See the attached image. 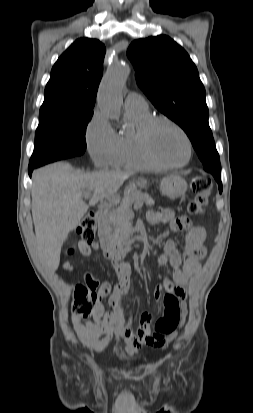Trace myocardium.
<instances>
[{
  "mask_svg": "<svg viewBox=\"0 0 253 413\" xmlns=\"http://www.w3.org/2000/svg\"><path fill=\"white\" fill-rule=\"evenodd\" d=\"M159 123H166L176 129L184 138L187 147L186 159L178 164H168L159 160L153 153L150 145V134L153 128ZM138 143L144 157L155 167L161 169H179L186 166L192 157L193 147L187 132L174 120L165 116H151L147 119L138 130Z\"/></svg>",
  "mask_w": 253,
  "mask_h": 413,
  "instance_id": "myocardium-1",
  "label": "myocardium"
}]
</instances>
